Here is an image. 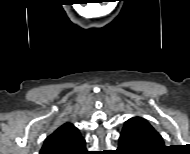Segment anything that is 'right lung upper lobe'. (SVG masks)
I'll list each match as a JSON object with an SVG mask.
<instances>
[{
	"instance_id": "right-lung-upper-lobe-1",
	"label": "right lung upper lobe",
	"mask_w": 190,
	"mask_h": 154,
	"mask_svg": "<svg viewBox=\"0 0 190 154\" xmlns=\"http://www.w3.org/2000/svg\"><path fill=\"white\" fill-rule=\"evenodd\" d=\"M84 151V138L73 124L67 122L46 138L40 154H83Z\"/></svg>"
}]
</instances>
